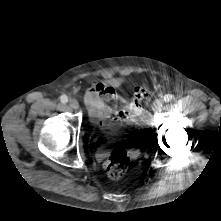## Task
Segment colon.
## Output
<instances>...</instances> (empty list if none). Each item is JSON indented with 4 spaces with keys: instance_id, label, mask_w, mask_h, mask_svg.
I'll list each match as a JSON object with an SVG mask.
<instances>
[{
    "instance_id": "obj_1",
    "label": "colon",
    "mask_w": 221,
    "mask_h": 221,
    "mask_svg": "<svg viewBox=\"0 0 221 221\" xmlns=\"http://www.w3.org/2000/svg\"><path fill=\"white\" fill-rule=\"evenodd\" d=\"M148 95V88L146 86H137L134 89L133 99L129 105L133 113L139 114L141 111V103ZM130 157L128 152L121 148H115L108 156L104 163V169L110 179L121 178L128 169Z\"/></svg>"
}]
</instances>
